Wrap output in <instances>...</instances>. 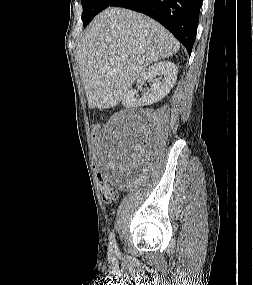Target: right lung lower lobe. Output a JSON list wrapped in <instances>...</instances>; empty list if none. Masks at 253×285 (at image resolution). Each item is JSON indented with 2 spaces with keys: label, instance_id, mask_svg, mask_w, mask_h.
Segmentation results:
<instances>
[{
  "label": "right lung lower lobe",
  "instance_id": "1",
  "mask_svg": "<svg viewBox=\"0 0 253 285\" xmlns=\"http://www.w3.org/2000/svg\"><path fill=\"white\" fill-rule=\"evenodd\" d=\"M203 0H116L110 6L144 13L167 28L191 54Z\"/></svg>",
  "mask_w": 253,
  "mask_h": 285
}]
</instances>
